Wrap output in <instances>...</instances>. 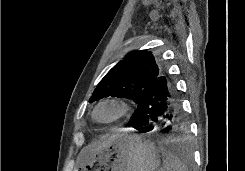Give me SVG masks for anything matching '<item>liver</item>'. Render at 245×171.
<instances>
[{"label":"liver","instance_id":"liver-1","mask_svg":"<svg viewBox=\"0 0 245 171\" xmlns=\"http://www.w3.org/2000/svg\"><path fill=\"white\" fill-rule=\"evenodd\" d=\"M114 137H115V135H113V136L107 135V136L102 137L96 145L90 146L89 148L85 149L84 154L93 153L97 150H100L104 147H107L108 145H110V143L112 142Z\"/></svg>","mask_w":245,"mask_h":171}]
</instances>
